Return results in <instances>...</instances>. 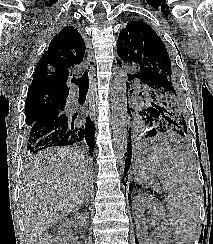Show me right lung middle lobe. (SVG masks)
Masks as SVG:
<instances>
[{
    "instance_id": "dd1d6c3e",
    "label": "right lung middle lobe",
    "mask_w": 213,
    "mask_h": 244,
    "mask_svg": "<svg viewBox=\"0 0 213 244\" xmlns=\"http://www.w3.org/2000/svg\"><path fill=\"white\" fill-rule=\"evenodd\" d=\"M66 97L43 94L26 98L25 114L27 131L37 121L49 116L56 111H63L65 108Z\"/></svg>"
}]
</instances>
